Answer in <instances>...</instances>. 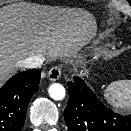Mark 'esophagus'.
<instances>
[{
	"mask_svg": "<svg viewBox=\"0 0 131 131\" xmlns=\"http://www.w3.org/2000/svg\"><path fill=\"white\" fill-rule=\"evenodd\" d=\"M61 76V68L59 66L52 67L48 72V78L50 81H56Z\"/></svg>",
	"mask_w": 131,
	"mask_h": 131,
	"instance_id": "1",
	"label": "esophagus"
}]
</instances>
